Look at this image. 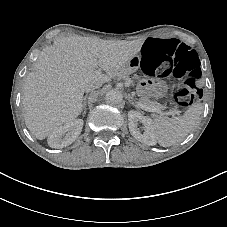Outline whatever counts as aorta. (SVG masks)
Here are the masks:
<instances>
[{"label": "aorta", "mask_w": 227, "mask_h": 227, "mask_svg": "<svg viewBox=\"0 0 227 227\" xmlns=\"http://www.w3.org/2000/svg\"><path fill=\"white\" fill-rule=\"evenodd\" d=\"M123 95L119 90H110L105 95V100L109 104H118L122 101Z\"/></svg>", "instance_id": "aorta-1"}]
</instances>
